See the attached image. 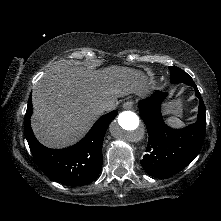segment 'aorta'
Listing matches in <instances>:
<instances>
[{
	"label": "aorta",
	"mask_w": 221,
	"mask_h": 221,
	"mask_svg": "<svg viewBox=\"0 0 221 221\" xmlns=\"http://www.w3.org/2000/svg\"><path fill=\"white\" fill-rule=\"evenodd\" d=\"M110 133L116 139L128 143H136L143 139L144 128L139 117L132 111H122L110 127Z\"/></svg>",
	"instance_id": "obj_1"
}]
</instances>
